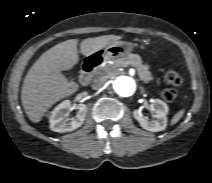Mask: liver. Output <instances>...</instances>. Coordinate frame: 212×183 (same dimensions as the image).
<instances>
[{
  "label": "liver",
  "mask_w": 212,
  "mask_h": 183,
  "mask_svg": "<svg viewBox=\"0 0 212 183\" xmlns=\"http://www.w3.org/2000/svg\"><path fill=\"white\" fill-rule=\"evenodd\" d=\"M120 38L116 35H103L84 39L80 44V52L84 56H90ZM77 44V39H70L53 46L29 69L23 81L21 100L25 113L32 122H39L53 104L78 90L79 85L67 82L61 73L78 63Z\"/></svg>",
  "instance_id": "6515ba94"
}]
</instances>
